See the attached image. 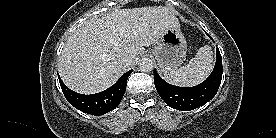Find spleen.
I'll use <instances>...</instances> for the list:
<instances>
[{"instance_id": "1", "label": "spleen", "mask_w": 276, "mask_h": 138, "mask_svg": "<svg viewBox=\"0 0 276 138\" xmlns=\"http://www.w3.org/2000/svg\"><path fill=\"white\" fill-rule=\"evenodd\" d=\"M213 67V52L210 46L201 47L186 66L164 72L167 82L182 87H191L201 83Z\"/></svg>"}]
</instances>
